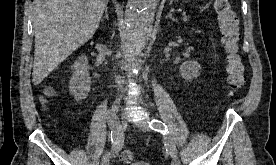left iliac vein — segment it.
Masks as SVG:
<instances>
[{
    "label": "left iliac vein",
    "mask_w": 276,
    "mask_h": 165,
    "mask_svg": "<svg viewBox=\"0 0 276 165\" xmlns=\"http://www.w3.org/2000/svg\"><path fill=\"white\" fill-rule=\"evenodd\" d=\"M136 125L142 130H149L148 120H138ZM171 165H180L179 158L177 154L172 155Z\"/></svg>",
    "instance_id": "left-iliac-vein-1"
}]
</instances>
